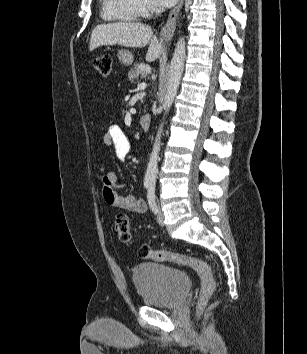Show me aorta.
<instances>
[{"mask_svg": "<svg viewBox=\"0 0 307 354\" xmlns=\"http://www.w3.org/2000/svg\"><path fill=\"white\" fill-rule=\"evenodd\" d=\"M185 58H186V46H185V40L182 37L178 40L176 44L175 51L172 60L170 62L168 86H167V90L164 97V103H163V109L165 111L164 115L169 112V109L171 108L174 98L177 94L180 81L182 78V74L184 71ZM163 126L164 123L162 122L159 126L158 132L154 140L152 152L145 173V178H144L145 185H154L156 182Z\"/></svg>", "mask_w": 307, "mask_h": 354, "instance_id": "aorta-1", "label": "aorta"}]
</instances>
